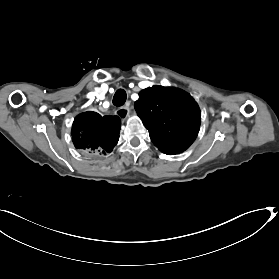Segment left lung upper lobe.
Listing matches in <instances>:
<instances>
[{
    "mask_svg": "<svg viewBox=\"0 0 279 279\" xmlns=\"http://www.w3.org/2000/svg\"><path fill=\"white\" fill-rule=\"evenodd\" d=\"M134 107L152 142L165 154L185 151L197 137L201 113L190 95L182 90L146 88L140 91Z\"/></svg>",
    "mask_w": 279,
    "mask_h": 279,
    "instance_id": "5c2ea615",
    "label": "left lung upper lobe"
}]
</instances>
